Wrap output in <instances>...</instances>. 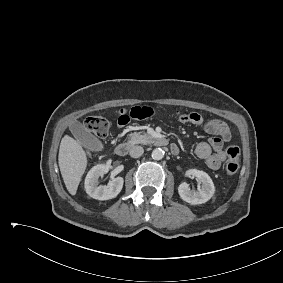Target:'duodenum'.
<instances>
[{"label": "duodenum", "instance_id": "410a0bca", "mask_svg": "<svg viewBox=\"0 0 283 283\" xmlns=\"http://www.w3.org/2000/svg\"><path fill=\"white\" fill-rule=\"evenodd\" d=\"M154 143L157 146L163 147V146H167L169 144V141L165 137H159V138H156L154 140ZM131 147H132V144L129 143V142L120 143L116 146L115 153H116V155L121 156V157L126 156L128 154V152L130 151ZM170 149H171V152L173 154H178V152H179V149H178L177 145H175V144H171Z\"/></svg>", "mask_w": 283, "mask_h": 283}]
</instances>
